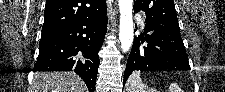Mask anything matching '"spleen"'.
Returning a JSON list of instances; mask_svg holds the SVG:
<instances>
[{"mask_svg": "<svg viewBox=\"0 0 225 92\" xmlns=\"http://www.w3.org/2000/svg\"><path fill=\"white\" fill-rule=\"evenodd\" d=\"M157 92L155 88H148L140 77V71H133L126 83L127 92ZM169 92H181L180 87L176 83H171Z\"/></svg>", "mask_w": 225, "mask_h": 92, "instance_id": "spleen-1", "label": "spleen"}]
</instances>
